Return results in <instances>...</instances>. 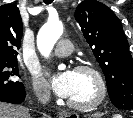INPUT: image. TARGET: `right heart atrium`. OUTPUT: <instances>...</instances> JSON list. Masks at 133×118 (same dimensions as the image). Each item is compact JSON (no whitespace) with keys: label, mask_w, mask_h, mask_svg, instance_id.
I'll list each match as a JSON object with an SVG mask.
<instances>
[{"label":"right heart atrium","mask_w":133,"mask_h":118,"mask_svg":"<svg viewBox=\"0 0 133 118\" xmlns=\"http://www.w3.org/2000/svg\"><path fill=\"white\" fill-rule=\"evenodd\" d=\"M33 89L37 97L41 99H45L49 96L47 83L39 74L34 75Z\"/></svg>","instance_id":"right-heart-atrium-1"}]
</instances>
